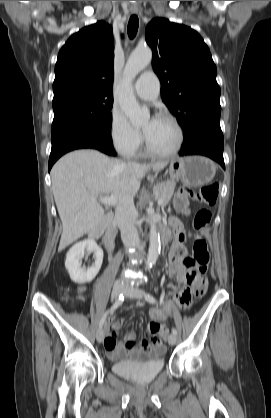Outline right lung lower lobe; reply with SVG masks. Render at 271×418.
Wrapping results in <instances>:
<instances>
[{"label":"right lung lower lobe","mask_w":271,"mask_h":418,"mask_svg":"<svg viewBox=\"0 0 271 418\" xmlns=\"http://www.w3.org/2000/svg\"><path fill=\"white\" fill-rule=\"evenodd\" d=\"M52 149L49 158V171L56 160L63 154L81 148L98 149L115 156L112 145L111 130L103 126L92 125L66 130L51 137Z\"/></svg>","instance_id":"1"}]
</instances>
